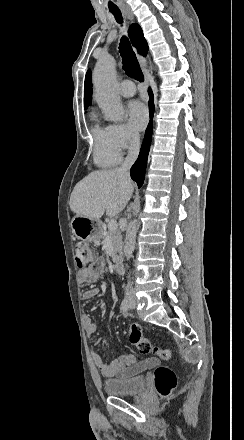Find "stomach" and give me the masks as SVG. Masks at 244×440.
Returning a JSON list of instances; mask_svg holds the SVG:
<instances>
[{"mask_svg":"<svg viewBox=\"0 0 244 440\" xmlns=\"http://www.w3.org/2000/svg\"><path fill=\"white\" fill-rule=\"evenodd\" d=\"M70 228L73 236L81 242H93L102 232L100 220H90V218L77 216V214L72 218Z\"/></svg>","mask_w":244,"mask_h":440,"instance_id":"obj_1","label":"stomach"}]
</instances>
